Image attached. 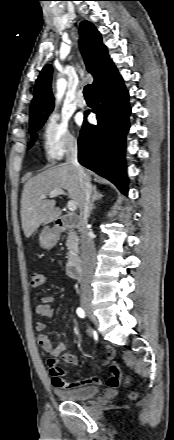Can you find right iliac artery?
Returning a JSON list of instances; mask_svg holds the SVG:
<instances>
[{
  "label": "right iliac artery",
  "mask_w": 174,
  "mask_h": 440,
  "mask_svg": "<svg viewBox=\"0 0 174 440\" xmlns=\"http://www.w3.org/2000/svg\"><path fill=\"white\" fill-rule=\"evenodd\" d=\"M77 314L79 317L84 318L85 317V312L82 308H78L77 309Z\"/></svg>",
  "instance_id": "right-iliac-artery-1"
}]
</instances>
